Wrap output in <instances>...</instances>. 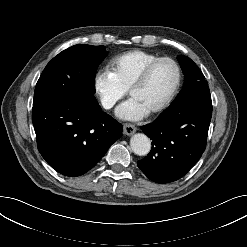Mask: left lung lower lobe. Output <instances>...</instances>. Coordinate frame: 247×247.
Segmentation results:
<instances>
[{"mask_svg": "<svg viewBox=\"0 0 247 247\" xmlns=\"http://www.w3.org/2000/svg\"><path fill=\"white\" fill-rule=\"evenodd\" d=\"M212 115L209 90L195 94L142 127L152 140L150 153L138 167L152 181L169 183L182 178L201 158Z\"/></svg>", "mask_w": 247, "mask_h": 247, "instance_id": "left-lung-lower-lobe-1", "label": "left lung lower lobe"}]
</instances>
